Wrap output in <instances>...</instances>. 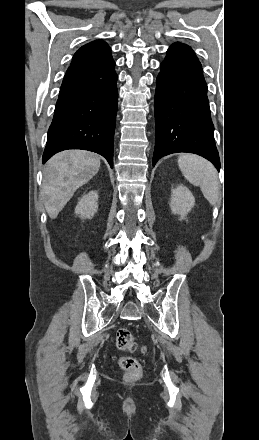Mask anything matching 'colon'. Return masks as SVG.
Wrapping results in <instances>:
<instances>
[{"mask_svg": "<svg viewBox=\"0 0 259 440\" xmlns=\"http://www.w3.org/2000/svg\"><path fill=\"white\" fill-rule=\"evenodd\" d=\"M116 345L118 349L125 352H135L138 349L133 334L127 328H121L117 331ZM119 366L124 370L126 380H136L141 376L142 368L135 358L123 356L119 359Z\"/></svg>", "mask_w": 259, "mask_h": 440, "instance_id": "colon-1", "label": "colon"}]
</instances>
